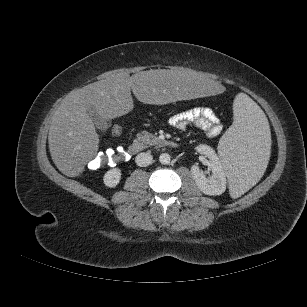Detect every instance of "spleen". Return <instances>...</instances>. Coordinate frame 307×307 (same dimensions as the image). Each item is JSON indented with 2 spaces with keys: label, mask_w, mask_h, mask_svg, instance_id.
<instances>
[{
  "label": "spleen",
  "mask_w": 307,
  "mask_h": 307,
  "mask_svg": "<svg viewBox=\"0 0 307 307\" xmlns=\"http://www.w3.org/2000/svg\"><path fill=\"white\" fill-rule=\"evenodd\" d=\"M233 113V124L220 139L218 152L228 171L230 195L238 198L265 171L271 142L267 118L249 96H236Z\"/></svg>",
  "instance_id": "1"
}]
</instances>
